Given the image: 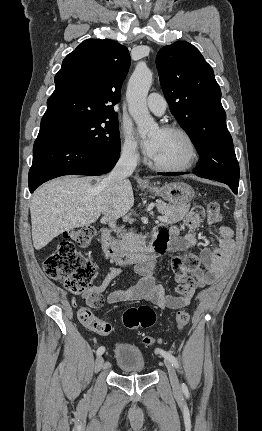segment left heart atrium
<instances>
[{"label":"left heart atrium","instance_id":"left-heart-atrium-1","mask_svg":"<svg viewBox=\"0 0 262 431\" xmlns=\"http://www.w3.org/2000/svg\"><path fill=\"white\" fill-rule=\"evenodd\" d=\"M159 141V135H154L143 141V146L149 156H153Z\"/></svg>","mask_w":262,"mask_h":431}]
</instances>
